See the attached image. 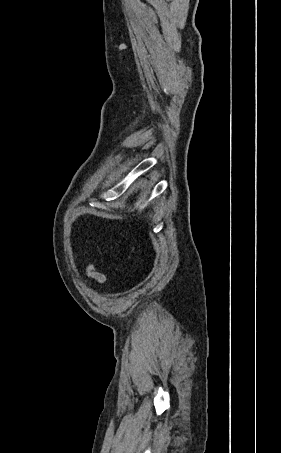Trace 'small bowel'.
<instances>
[{
  "label": "small bowel",
  "instance_id": "c3829d8e",
  "mask_svg": "<svg viewBox=\"0 0 281 453\" xmlns=\"http://www.w3.org/2000/svg\"><path fill=\"white\" fill-rule=\"evenodd\" d=\"M90 276L94 279H96L99 283L104 284L105 283V275L102 272H99L95 270L94 268H90Z\"/></svg>",
  "mask_w": 281,
  "mask_h": 453
}]
</instances>
